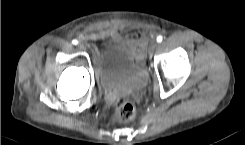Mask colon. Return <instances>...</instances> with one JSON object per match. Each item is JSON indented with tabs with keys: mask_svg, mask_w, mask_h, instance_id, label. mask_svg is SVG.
I'll return each mask as SVG.
<instances>
[{
	"mask_svg": "<svg viewBox=\"0 0 245 145\" xmlns=\"http://www.w3.org/2000/svg\"><path fill=\"white\" fill-rule=\"evenodd\" d=\"M137 105L134 100L119 96L115 103V118L118 121L131 120L136 112Z\"/></svg>",
	"mask_w": 245,
	"mask_h": 145,
	"instance_id": "obj_1",
	"label": "colon"
}]
</instances>
